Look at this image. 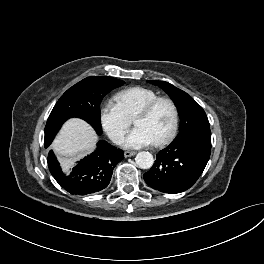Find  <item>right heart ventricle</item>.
<instances>
[{
    "label": "right heart ventricle",
    "mask_w": 264,
    "mask_h": 264,
    "mask_svg": "<svg viewBox=\"0 0 264 264\" xmlns=\"http://www.w3.org/2000/svg\"><path fill=\"white\" fill-rule=\"evenodd\" d=\"M159 97V94L147 87L136 86L119 91L116 102L128 118L132 119L147 103Z\"/></svg>",
    "instance_id": "right-heart-ventricle-1"
}]
</instances>
